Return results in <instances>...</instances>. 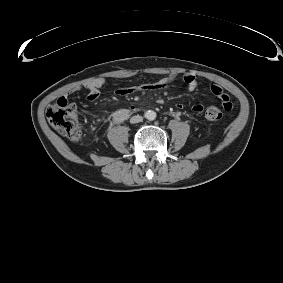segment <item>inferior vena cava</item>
<instances>
[{
    "mask_svg": "<svg viewBox=\"0 0 283 283\" xmlns=\"http://www.w3.org/2000/svg\"><path fill=\"white\" fill-rule=\"evenodd\" d=\"M142 121H143V117L139 116V115L133 116L130 119V122L133 123V124L134 123H139V122H142Z\"/></svg>",
    "mask_w": 283,
    "mask_h": 283,
    "instance_id": "obj_1",
    "label": "inferior vena cava"
}]
</instances>
